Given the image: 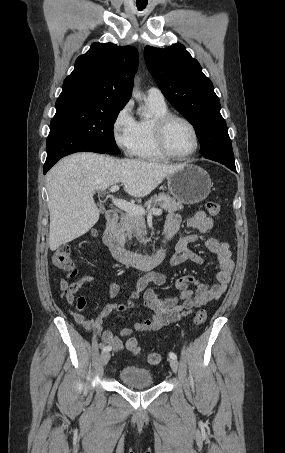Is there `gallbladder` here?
Returning <instances> with one entry per match:
<instances>
[{"label": "gallbladder", "instance_id": "gallbladder-1", "mask_svg": "<svg viewBox=\"0 0 285 453\" xmlns=\"http://www.w3.org/2000/svg\"><path fill=\"white\" fill-rule=\"evenodd\" d=\"M105 209L103 207L100 206V211L103 212Z\"/></svg>", "mask_w": 285, "mask_h": 453}]
</instances>
